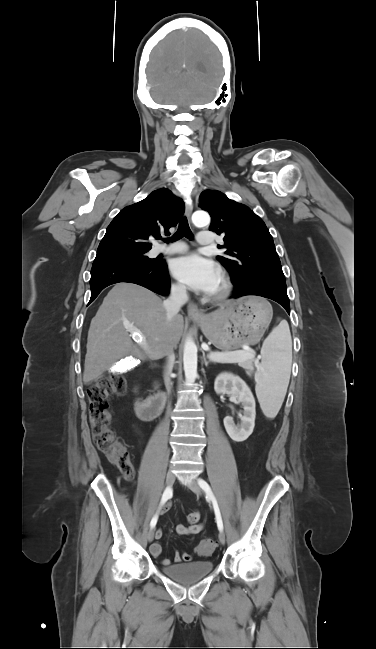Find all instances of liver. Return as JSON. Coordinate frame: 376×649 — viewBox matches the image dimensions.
Here are the masks:
<instances>
[{
	"instance_id": "6515ba94",
	"label": "liver",
	"mask_w": 376,
	"mask_h": 649,
	"mask_svg": "<svg viewBox=\"0 0 376 649\" xmlns=\"http://www.w3.org/2000/svg\"><path fill=\"white\" fill-rule=\"evenodd\" d=\"M128 325L143 337L142 347L133 343ZM183 326L180 314L167 319L162 299L152 291L132 283H117L91 320L83 382L99 378L127 355L140 359L167 356L177 347Z\"/></svg>"
}]
</instances>
